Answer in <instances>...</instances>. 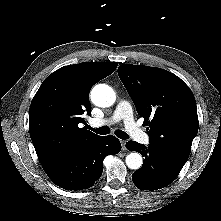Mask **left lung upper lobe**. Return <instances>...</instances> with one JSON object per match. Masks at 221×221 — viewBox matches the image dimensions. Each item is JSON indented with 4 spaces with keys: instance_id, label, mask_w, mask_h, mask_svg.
I'll return each mask as SVG.
<instances>
[{
    "instance_id": "5c2ea615",
    "label": "left lung upper lobe",
    "mask_w": 221,
    "mask_h": 221,
    "mask_svg": "<svg viewBox=\"0 0 221 221\" xmlns=\"http://www.w3.org/2000/svg\"><path fill=\"white\" fill-rule=\"evenodd\" d=\"M118 75L148 125L150 145L185 164L199 127L190 88L161 68L123 64L118 67Z\"/></svg>"
}]
</instances>
